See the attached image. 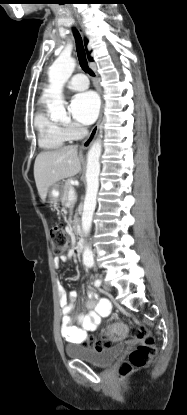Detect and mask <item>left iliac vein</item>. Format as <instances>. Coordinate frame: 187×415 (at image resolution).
I'll use <instances>...</instances> for the list:
<instances>
[{"instance_id": "4c4485c4", "label": "left iliac vein", "mask_w": 187, "mask_h": 415, "mask_svg": "<svg viewBox=\"0 0 187 415\" xmlns=\"http://www.w3.org/2000/svg\"><path fill=\"white\" fill-rule=\"evenodd\" d=\"M103 288H104L105 290H107V291H110V290H111L110 285H109V284H106V283L103 285Z\"/></svg>"}]
</instances>
